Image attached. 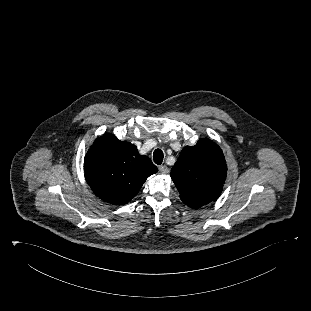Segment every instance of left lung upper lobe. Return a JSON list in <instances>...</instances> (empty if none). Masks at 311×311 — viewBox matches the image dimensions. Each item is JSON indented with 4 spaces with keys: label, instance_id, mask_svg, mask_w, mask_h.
I'll return each mask as SVG.
<instances>
[{
    "label": "left lung upper lobe",
    "instance_id": "5c2ea615",
    "mask_svg": "<svg viewBox=\"0 0 311 311\" xmlns=\"http://www.w3.org/2000/svg\"><path fill=\"white\" fill-rule=\"evenodd\" d=\"M227 165L220 147L210 139L182 149L171 170L180 198L191 208L214 201L221 193Z\"/></svg>",
    "mask_w": 311,
    "mask_h": 311
}]
</instances>
